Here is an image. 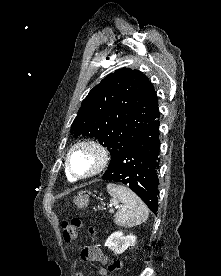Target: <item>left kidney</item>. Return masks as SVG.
<instances>
[{"label":"left kidney","mask_w":221,"mask_h":276,"mask_svg":"<svg viewBox=\"0 0 221 276\" xmlns=\"http://www.w3.org/2000/svg\"><path fill=\"white\" fill-rule=\"evenodd\" d=\"M136 237L132 234L125 236L122 232L112 233L105 242V246L114 251L115 255L123 253L128 247L134 246Z\"/></svg>","instance_id":"5707ae66"}]
</instances>
